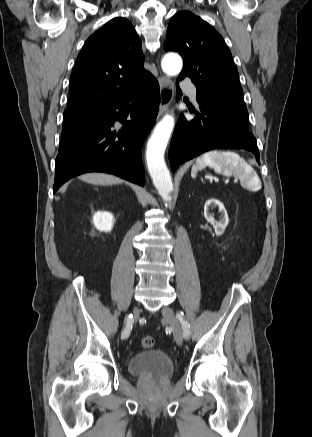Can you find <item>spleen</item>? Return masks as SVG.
I'll list each match as a JSON object with an SVG mask.
<instances>
[{
    "mask_svg": "<svg viewBox=\"0 0 312 437\" xmlns=\"http://www.w3.org/2000/svg\"><path fill=\"white\" fill-rule=\"evenodd\" d=\"M209 166L215 172L224 176H235L249 189L257 191L261 182L253 168L240 156L232 151H209L198 157L192 166L191 175L196 177L198 170Z\"/></svg>",
    "mask_w": 312,
    "mask_h": 437,
    "instance_id": "3e777b00",
    "label": "spleen"
}]
</instances>
